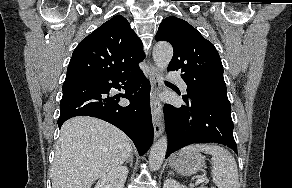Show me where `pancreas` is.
I'll list each match as a JSON object with an SVG mask.
<instances>
[{
	"label": "pancreas",
	"instance_id": "obj_1",
	"mask_svg": "<svg viewBox=\"0 0 292 188\" xmlns=\"http://www.w3.org/2000/svg\"><path fill=\"white\" fill-rule=\"evenodd\" d=\"M199 188H207V187L201 186V187H199Z\"/></svg>",
	"mask_w": 292,
	"mask_h": 188
}]
</instances>
